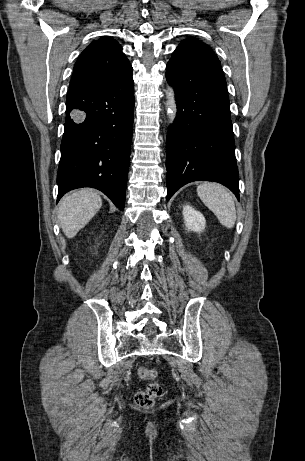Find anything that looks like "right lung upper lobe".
Segmentation results:
<instances>
[{
    "instance_id": "cb5924a9",
    "label": "right lung upper lobe",
    "mask_w": 305,
    "mask_h": 461,
    "mask_svg": "<svg viewBox=\"0 0 305 461\" xmlns=\"http://www.w3.org/2000/svg\"><path fill=\"white\" fill-rule=\"evenodd\" d=\"M132 73V67L113 38L92 42L75 63L69 91L105 85Z\"/></svg>"
}]
</instances>
